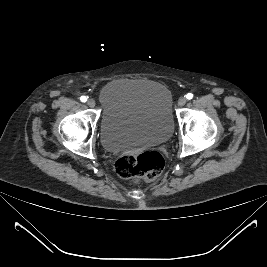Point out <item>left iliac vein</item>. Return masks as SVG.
<instances>
[{
  "label": "left iliac vein",
  "instance_id": "left-iliac-vein-1",
  "mask_svg": "<svg viewBox=\"0 0 267 267\" xmlns=\"http://www.w3.org/2000/svg\"><path fill=\"white\" fill-rule=\"evenodd\" d=\"M186 102H187L186 97H185V96H181V97L179 98V100H178V105H179V106H184V105L186 104Z\"/></svg>",
  "mask_w": 267,
  "mask_h": 267
}]
</instances>
